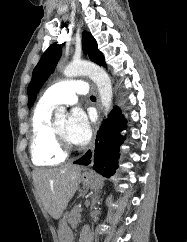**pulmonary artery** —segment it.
Here are the masks:
<instances>
[{
	"label": "pulmonary artery",
	"instance_id": "1",
	"mask_svg": "<svg viewBox=\"0 0 187 242\" xmlns=\"http://www.w3.org/2000/svg\"><path fill=\"white\" fill-rule=\"evenodd\" d=\"M87 93L88 86L86 82L78 79L64 80L47 88L40 101L50 106L58 104L71 105L77 101V95H86Z\"/></svg>",
	"mask_w": 187,
	"mask_h": 242
}]
</instances>
